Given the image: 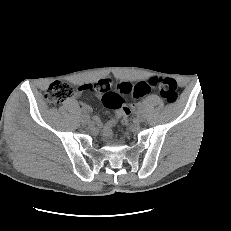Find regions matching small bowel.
<instances>
[{
    "instance_id": "obj_1",
    "label": "small bowel",
    "mask_w": 231,
    "mask_h": 231,
    "mask_svg": "<svg viewBox=\"0 0 231 231\" xmlns=\"http://www.w3.org/2000/svg\"><path fill=\"white\" fill-rule=\"evenodd\" d=\"M94 84H83L80 85L77 92L75 93V97H79L80 94L84 91H89V88L92 87ZM84 108H87V106H84ZM114 123V120L108 122L105 126V135L109 136L111 134V128Z\"/></svg>"
}]
</instances>
